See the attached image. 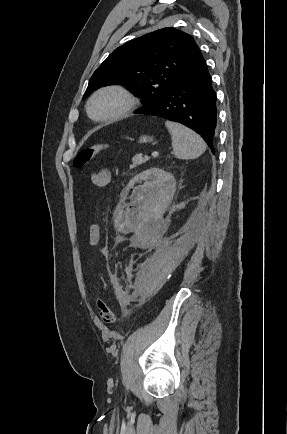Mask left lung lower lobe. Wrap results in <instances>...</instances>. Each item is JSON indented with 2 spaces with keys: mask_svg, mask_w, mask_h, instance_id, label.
<instances>
[{
  "mask_svg": "<svg viewBox=\"0 0 287 434\" xmlns=\"http://www.w3.org/2000/svg\"><path fill=\"white\" fill-rule=\"evenodd\" d=\"M136 113L179 122L200 134L214 151L217 135L216 94L204 58L185 69L158 102Z\"/></svg>",
  "mask_w": 287,
  "mask_h": 434,
  "instance_id": "1",
  "label": "left lung lower lobe"
}]
</instances>
